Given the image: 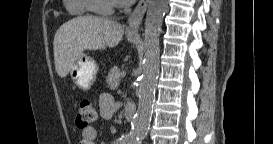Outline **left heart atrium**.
Listing matches in <instances>:
<instances>
[{
  "label": "left heart atrium",
  "instance_id": "obj_1",
  "mask_svg": "<svg viewBox=\"0 0 273 144\" xmlns=\"http://www.w3.org/2000/svg\"><path fill=\"white\" fill-rule=\"evenodd\" d=\"M112 3L118 6H128L134 2V0H111Z\"/></svg>",
  "mask_w": 273,
  "mask_h": 144
}]
</instances>
